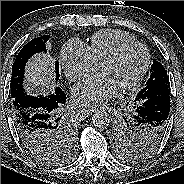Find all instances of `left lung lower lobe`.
I'll return each instance as SVG.
<instances>
[{
    "label": "left lung lower lobe",
    "instance_id": "left-lung-lower-lobe-1",
    "mask_svg": "<svg viewBox=\"0 0 184 184\" xmlns=\"http://www.w3.org/2000/svg\"><path fill=\"white\" fill-rule=\"evenodd\" d=\"M158 86L162 90L161 95L155 94L156 87L139 92L132 102V108L134 120L143 127L151 128L161 138L164 137L170 111V85Z\"/></svg>",
    "mask_w": 184,
    "mask_h": 184
}]
</instances>
